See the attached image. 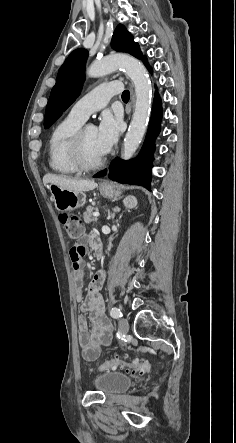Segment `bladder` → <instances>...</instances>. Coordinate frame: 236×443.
<instances>
[{"instance_id": "obj_1", "label": "bladder", "mask_w": 236, "mask_h": 443, "mask_svg": "<svg viewBox=\"0 0 236 443\" xmlns=\"http://www.w3.org/2000/svg\"><path fill=\"white\" fill-rule=\"evenodd\" d=\"M132 383L130 376L115 371L98 374L92 381L93 386L108 394L122 393L130 388Z\"/></svg>"}]
</instances>
